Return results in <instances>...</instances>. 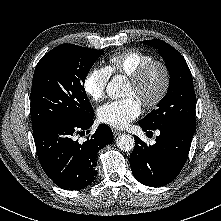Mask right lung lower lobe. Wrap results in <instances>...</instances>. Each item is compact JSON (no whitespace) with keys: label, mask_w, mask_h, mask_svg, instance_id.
Returning <instances> with one entry per match:
<instances>
[{"label":"right lung lower lobe","mask_w":221,"mask_h":221,"mask_svg":"<svg viewBox=\"0 0 221 221\" xmlns=\"http://www.w3.org/2000/svg\"><path fill=\"white\" fill-rule=\"evenodd\" d=\"M93 116L77 122L56 121L33 130L44 172L63 189L81 190L90 185L97 175V152L113 141L112 130L105 124L83 143L74 139L77 131L82 133L93 125Z\"/></svg>","instance_id":"right-lung-lower-lobe-1"}]
</instances>
